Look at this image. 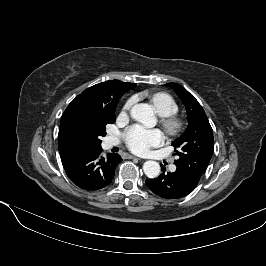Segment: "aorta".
I'll list each match as a JSON object with an SVG mask.
<instances>
[{"label": "aorta", "mask_w": 266, "mask_h": 266, "mask_svg": "<svg viewBox=\"0 0 266 266\" xmlns=\"http://www.w3.org/2000/svg\"><path fill=\"white\" fill-rule=\"evenodd\" d=\"M131 117L147 127L156 125L153 108L145 103L134 105L131 109ZM143 171L147 177L156 178L159 176L161 168L158 162L149 160L143 164Z\"/></svg>", "instance_id": "obj_1"}]
</instances>
